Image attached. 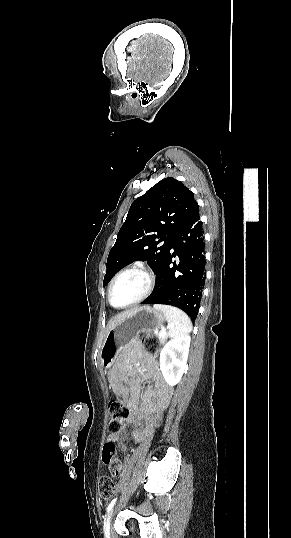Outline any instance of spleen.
I'll list each match as a JSON object with an SVG mask.
<instances>
[{"label":"spleen","instance_id":"1","mask_svg":"<svg viewBox=\"0 0 291 538\" xmlns=\"http://www.w3.org/2000/svg\"><path fill=\"white\" fill-rule=\"evenodd\" d=\"M154 309L163 312L168 322V336L176 338L186 335L192 330L189 316L182 310L163 304H155Z\"/></svg>","mask_w":291,"mask_h":538}]
</instances>
